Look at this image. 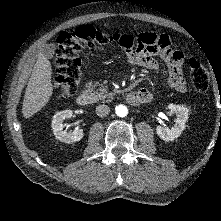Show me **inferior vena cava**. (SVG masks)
I'll return each instance as SVG.
<instances>
[{"instance_id": "1", "label": "inferior vena cava", "mask_w": 221, "mask_h": 221, "mask_svg": "<svg viewBox=\"0 0 221 221\" xmlns=\"http://www.w3.org/2000/svg\"><path fill=\"white\" fill-rule=\"evenodd\" d=\"M110 112V108L107 105H99L96 107V114L100 117H106Z\"/></svg>"}]
</instances>
